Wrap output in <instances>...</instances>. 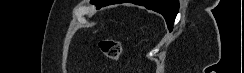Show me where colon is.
I'll return each mask as SVG.
<instances>
[{"label":"colon","mask_w":244,"mask_h":73,"mask_svg":"<svg viewBox=\"0 0 244 73\" xmlns=\"http://www.w3.org/2000/svg\"><path fill=\"white\" fill-rule=\"evenodd\" d=\"M102 53L110 60H118L121 56L122 46L117 39H103L99 43Z\"/></svg>","instance_id":"obj_1"}]
</instances>
